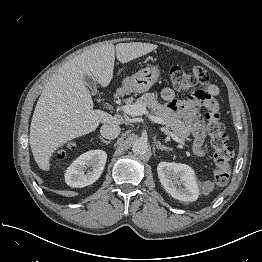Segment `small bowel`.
Segmentation results:
<instances>
[{
  "label": "small bowel",
  "instance_id": "obj_1",
  "mask_svg": "<svg viewBox=\"0 0 262 262\" xmlns=\"http://www.w3.org/2000/svg\"><path fill=\"white\" fill-rule=\"evenodd\" d=\"M198 70L199 67H193L194 72ZM203 82L205 90L189 96L184 101L177 100L175 92L171 88H165L162 91V98L166 105L172 109L176 117L183 118L186 126L191 131L192 143L201 155L204 154L201 146L205 136V129L198 110L199 108L217 109L218 105L215 97L219 93V87L210 83L207 78Z\"/></svg>",
  "mask_w": 262,
  "mask_h": 262
}]
</instances>
